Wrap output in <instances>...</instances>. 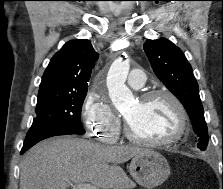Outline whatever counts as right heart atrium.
I'll return each mask as SVG.
<instances>
[{
  "mask_svg": "<svg viewBox=\"0 0 223 189\" xmlns=\"http://www.w3.org/2000/svg\"><path fill=\"white\" fill-rule=\"evenodd\" d=\"M82 118L86 128L98 140L112 143L120 129V118L108 101L101 95L90 92L82 106Z\"/></svg>",
  "mask_w": 223,
  "mask_h": 189,
  "instance_id": "d8ad5b80",
  "label": "right heart atrium"
}]
</instances>
